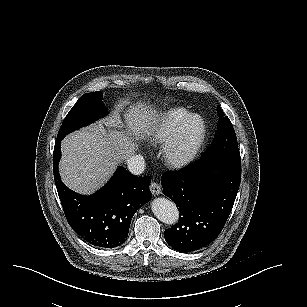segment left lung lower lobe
<instances>
[{
	"label": "left lung lower lobe",
	"instance_id": "obj_1",
	"mask_svg": "<svg viewBox=\"0 0 307 307\" xmlns=\"http://www.w3.org/2000/svg\"><path fill=\"white\" fill-rule=\"evenodd\" d=\"M215 171H218L215 172ZM241 180V162L202 160L161 178L163 194L179 209V221L166 229V242L181 253L208 246L221 233Z\"/></svg>",
	"mask_w": 307,
	"mask_h": 307
}]
</instances>
